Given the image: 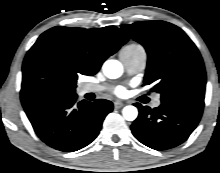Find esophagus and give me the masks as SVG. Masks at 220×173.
<instances>
[{"instance_id":"34e87169","label":"esophagus","mask_w":220,"mask_h":173,"mask_svg":"<svg viewBox=\"0 0 220 173\" xmlns=\"http://www.w3.org/2000/svg\"><path fill=\"white\" fill-rule=\"evenodd\" d=\"M123 106H124V103L122 101L117 100V101L114 102V107L116 109H120Z\"/></svg>"}]
</instances>
